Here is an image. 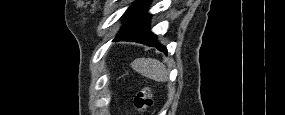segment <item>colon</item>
Wrapping results in <instances>:
<instances>
[{
    "label": "colon",
    "instance_id": "obj_1",
    "mask_svg": "<svg viewBox=\"0 0 285 115\" xmlns=\"http://www.w3.org/2000/svg\"><path fill=\"white\" fill-rule=\"evenodd\" d=\"M134 103L140 114L148 113L153 103L151 91L148 86H144L138 91Z\"/></svg>",
    "mask_w": 285,
    "mask_h": 115
}]
</instances>
